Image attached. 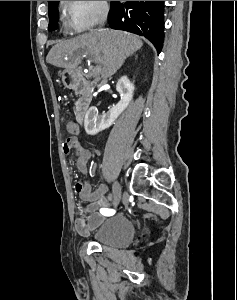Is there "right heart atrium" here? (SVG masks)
I'll list each match as a JSON object with an SVG mask.
<instances>
[{"label": "right heart atrium", "instance_id": "obj_1", "mask_svg": "<svg viewBox=\"0 0 237 300\" xmlns=\"http://www.w3.org/2000/svg\"><path fill=\"white\" fill-rule=\"evenodd\" d=\"M62 12L73 33L86 32L103 24L109 15L107 1H62Z\"/></svg>", "mask_w": 237, "mask_h": 300}]
</instances>
